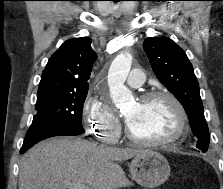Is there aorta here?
Returning <instances> with one entry per match:
<instances>
[{"instance_id": "aorta-1", "label": "aorta", "mask_w": 223, "mask_h": 189, "mask_svg": "<svg viewBox=\"0 0 223 189\" xmlns=\"http://www.w3.org/2000/svg\"><path fill=\"white\" fill-rule=\"evenodd\" d=\"M131 64L132 55L128 52L121 53L113 60L108 72L110 95L115 107L120 110L127 108L133 100L132 93L124 85Z\"/></svg>"}]
</instances>
